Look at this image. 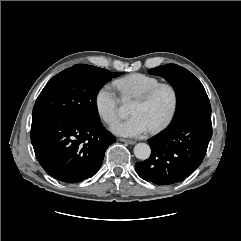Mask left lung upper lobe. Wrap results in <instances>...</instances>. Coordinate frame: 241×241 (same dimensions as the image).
<instances>
[{
  "mask_svg": "<svg viewBox=\"0 0 241 241\" xmlns=\"http://www.w3.org/2000/svg\"><path fill=\"white\" fill-rule=\"evenodd\" d=\"M151 74L165 78L177 95V108L168 128L202 113H211V105L201 82L187 69L168 64L150 69Z\"/></svg>",
  "mask_w": 241,
  "mask_h": 241,
  "instance_id": "5c2ea615",
  "label": "left lung upper lobe"
}]
</instances>
